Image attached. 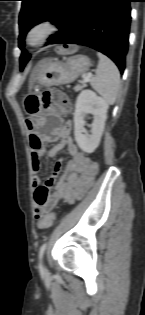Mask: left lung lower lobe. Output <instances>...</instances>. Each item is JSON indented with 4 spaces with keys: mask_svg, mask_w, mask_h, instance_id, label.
I'll list each match as a JSON object with an SVG mask.
<instances>
[{
    "mask_svg": "<svg viewBox=\"0 0 145 315\" xmlns=\"http://www.w3.org/2000/svg\"><path fill=\"white\" fill-rule=\"evenodd\" d=\"M132 1L75 0L65 23L49 43L79 44L93 48L111 58L123 73ZM19 47L24 50V40L19 42Z\"/></svg>",
    "mask_w": 145,
    "mask_h": 315,
    "instance_id": "left-lung-lower-lobe-1",
    "label": "left lung lower lobe"
}]
</instances>
